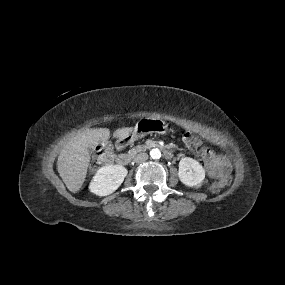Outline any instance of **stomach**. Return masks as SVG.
Returning a JSON list of instances; mask_svg holds the SVG:
<instances>
[{"label":"stomach","mask_w":285,"mask_h":285,"mask_svg":"<svg viewBox=\"0 0 285 285\" xmlns=\"http://www.w3.org/2000/svg\"><path fill=\"white\" fill-rule=\"evenodd\" d=\"M155 124H157L156 120L142 119L137 123L134 132L132 134H128V136H131L133 139H136L148 133L156 132L152 128V126H154ZM161 126L163 127V124H161Z\"/></svg>","instance_id":"0dacf381"}]
</instances>
